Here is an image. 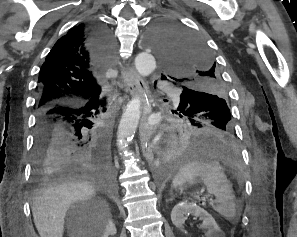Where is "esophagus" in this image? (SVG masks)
<instances>
[{
  "mask_svg": "<svg viewBox=\"0 0 297 237\" xmlns=\"http://www.w3.org/2000/svg\"><path fill=\"white\" fill-rule=\"evenodd\" d=\"M122 81L125 85V90L132 96H143L142 85L137 72L133 68L125 67L121 75ZM150 113V107L146 101L143 100L142 117L139 130V138L143 156L148 162L154 159L153 150L150 145V136L147 127V118Z\"/></svg>",
  "mask_w": 297,
  "mask_h": 237,
  "instance_id": "1",
  "label": "esophagus"
}]
</instances>
